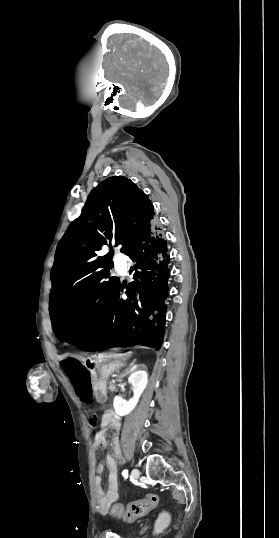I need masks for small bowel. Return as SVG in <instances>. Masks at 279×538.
I'll return each instance as SVG.
<instances>
[{
	"label": "small bowel",
	"instance_id": "obj_1",
	"mask_svg": "<svg viewBox=\"0 0 279 538\" xmlns=\"http://www.w3.org/2000/svg\"><path fill=\"white\" fill-rule=\"evenodd\" d=\"M67 378L73 388L77 398L83 403H89L93 399V376L86 369H77L67 372ZM98 420L94 415L90 419L91 426H95ZM100 429L95 435L94 449H104L107 446V433L109 429L119 430L120 423L113 414L106 413L99 422ZM113 455L106 457L105 464L97 466V477L95 478L96 500L100 509H107L119 498V482L116 459L121 457V441L115 435L111 441ZM105 467L108 469V489L104 491L102 487L101 474Z\"/></svg>",
	"mask_w": 279,
	"mask_h": 538
}]
</instances>
